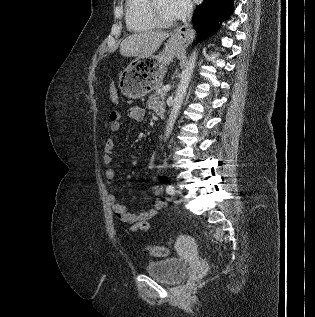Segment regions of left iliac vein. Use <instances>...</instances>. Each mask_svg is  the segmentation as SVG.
Returning <instances> with one entry per match:
<instances>
[{
    "label": "left iliac vein",
    "instance_id": "1",
    "mask_svg": "<svg viewBox=\"0 0 315 317\" xmlns=\"http://www.w3.org/2000/svg\"><path fill=\"white\" fill-rule=\"evenodd\" d=\"M174 195L179 198V199L177 200V203H181V201H182L181 191L176 190L175 193H174Z\"/></svg>",
    "mask_w": 315,
    "mask_h": 317
}]
</instances>
